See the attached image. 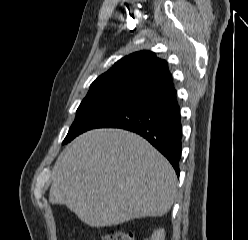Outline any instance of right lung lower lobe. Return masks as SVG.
Wrapping results in <instances>:
<instances>
[{
  "label": "right lung lower lobe",
  "instance_id": "right-lung-lower-lobe-1",
  "mask_svg": "<svg viewBox=\"0 0 248 240\" xmlns=\"http://www.w3.org/2000/svg\"><path fill=\"white\" fill-rule=\"evenodd\" d=\"M102 127L121 128L141 135L169 160L179 176L182 127L175 89L125 106L91 129Z\"/></svg>",
  "mask_w": 248,
  "mask_h": 240
}]
</instances>
